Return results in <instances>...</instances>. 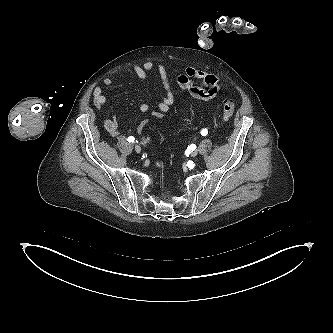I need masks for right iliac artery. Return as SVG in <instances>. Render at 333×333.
<instances>
[{"mask_svg":"<svg viewBox=\"0 0 333 333\" xmlns=\"http://www.w3.org/2000/svg\"><path fill=\"white\" fill-rule=\"evenodd\" d=\"M128 142L129 143H135V142H137V140L135 141V138L133 136H129L128 137Z\"/></svg>","mask_w":333,"mask_h":333,"instance_id":"right-iliac-artery-1","label":"right iliac artery"}]
</instances>
